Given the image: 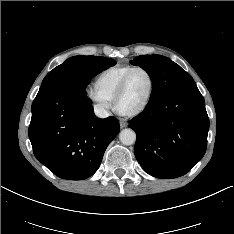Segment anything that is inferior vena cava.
I'll return each instance as SVG.
<instances>
[{"instance_id": "602c4592", "label": "inferior vena cava", "mask_w": 234, "mask_h": 234, "mask_svg": "<svg viewBox=\"0 0 234 234\" xmlns=\"http://www.w3.org/2000/svg\"><path fill=\"white\" fill-rule=\"evenodd\" d=\"M94 112L99 118H106L110 115L109 112L100 104L94 106Z\"/></svg>"}]
</instances>
